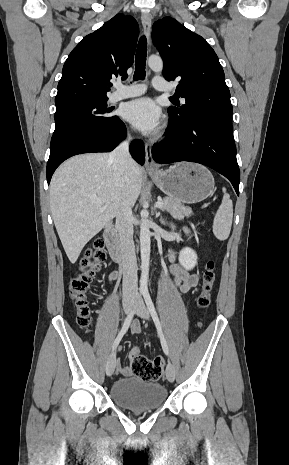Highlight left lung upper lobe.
I'll return each instance as SVG.
<instances>
[{
  "mask_svg": "<svg viewBox=\"0 0 289 465\" xmlns=\"http://www.w3.org/2000/svg\"><path fill=\"white\" fill-rule=\"evenodd\" d=\"M152 38L164 62V77L179 79L176 91L186 100L179 108L170 107L169 116L178 122L202 118L232 123L224 71L206 40L171 17L153 24Z\"/></svg>",
  "mask_w": 289,
  "mask_h": 465,
  "instance_id": "obj_1",
  "label": "left lung upper lobe"
}]
</instances>
